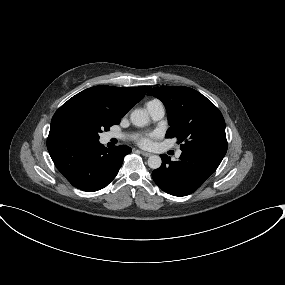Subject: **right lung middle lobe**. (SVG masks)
I'll list each match as a JSON object with an SVG mask.
<instances>
[{
    "instance_id": "right-lung-middle-lobe-1",
    "label": "right lung middle lobe",
    "mask_w": 285,
    "mask_h": 285,
    "mask_svg": "<svg viewBox=\"0 0 285 285\" xmlns=\"http://www.w3.org/2000/svg\"><path fill=\"white\" fill-rule=\"evenodd\" d=\"M117 121L103 112H73L61 115L58 119V126L72 131L81 137L99 141V133L108 131Z\"/></svg>"
}]
</instances>
